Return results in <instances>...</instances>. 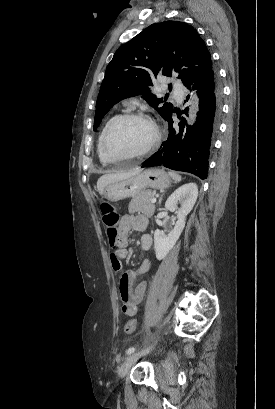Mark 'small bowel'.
Returning a JSON list of instances; mask_svg holds the SVG:
<instances>
[{"instance_id":"obj_1","label":"small bowel","mask_w":275,"mask_h":409,"mask_svg":"<svg viewBox=\"0 0 275 409\" xmlns=\"http://www.w3.org/2000/svg\"><path fill=\"white\" fill-rule=\"evenodd\" d=\"M138 221H145L143 218L132 215H124L121 219L119 231L121 237V248L111 254L110 262L112 269L115 272H123L119 280V292L122 300V312L126 316H133L136 314L138 306L143 302L146 292V282L141 280L136 288L132 289V282L138 277L146 274L150 269V261L144 258L138 269L133 271H126V262L131 251L128 248L129 232L132 228L140 229L137 227ZM152 236L149 234H143L140 238V245L143 251L148 252L152 246Z\"/></svg>"}]
</instances>
